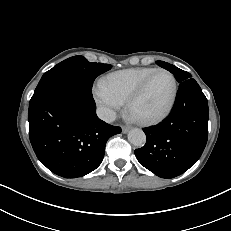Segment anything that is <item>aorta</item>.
<instances>
[{
  "label": "aorta",
  "instance_id": "762f6f07",
  "mask_svg": "<svg viewBox=\"0 0 231 231\" xmlns=\"http://www.w3.org/2000/svg\"><path fill=\"white\" fill-rule=\"evenodd\" d=\"M128 140L134 146L141 147L146 142V135L143 132V130H141L139 128H134V129L129 131Z\"/></svg>",
  "mask_w": 231,
  "mask_h": 231
}]
</instances>
